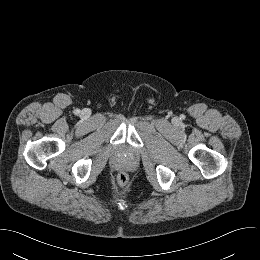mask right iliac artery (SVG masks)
I'll use <instances>...</instances> for the list:
<instances>
[{"label": "right iliac artery", "instance_id": "right-iliac-artery-1", "mask_svg": "<svg viewBox=\"0 0 260 260\" xmlns=\"http://www.w3.org/2000/svg\"><path fill=\"white\" fill-rule=\"evenodd\" d=\"M80 113V110L79 109H76L75 110V114H79Z\"/></svg>", "mask_w": 260, "mask_h": 260}]
</instances>
